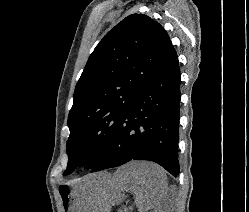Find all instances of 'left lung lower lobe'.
Masks as SVG:
<instances>
[{
    "instance_id": "obj_1",
    "label": "left lung lower lobe",
    "mask_w": 249,
    "mask_h": 212,
    "mask_svg": "<svg viewBox=\"0 0 249 212\" xmlns=\"http://www.w3.org/2000/svg\"><path fill=\"white\" fill-rule=\"evenodd\" d=\"M180 83L178 57L172 46L131 100L111 147L91 172L148 160L177 177Z\"/></svg>"
}]
</instances>
